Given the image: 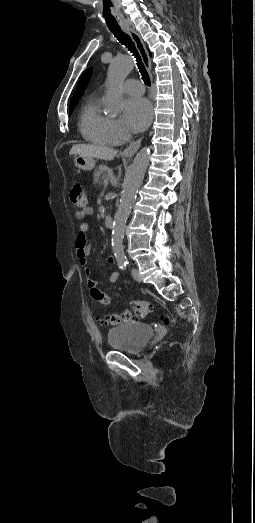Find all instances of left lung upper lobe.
Instances as JSON below:
<instances>
[{
    "label": "left lung upper lobe",
    "mask_w": 255,
    "mask_h": 523,
    "mask_svg": "<svg viewBox=\"0 0 255 523\" xmlns=\"http://www.w3.org/2000/svg\"><path fill=\"white\" fill-rule=\"evenodd\" d=\"M91 75H92V68H89L82 75V77H81V79H80V81H79V83L77 85V88L75 90V93L73 95V98L71 99V102H70L69 115L72 114L74 107L78 104L79 99L83 95V93H84V91L86 89V86L88 85L89 80L91 78Z\"/></svg>",
    "instance_id": "obj_1"
}]
</instances>
